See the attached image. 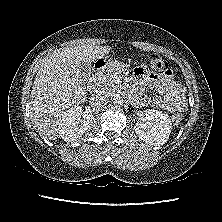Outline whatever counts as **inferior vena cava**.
Instances as JSON below:
<instances>
[{
    "label": "inferior vena cava",
    "mask_w": 222,
    "mask_h": 222,
    "mask_svg": "<svg viewBox=\"0 0 222 222\" xmlns=\"http://www.w3.org/2000/svg\"><path fill=\"white\" fill-rule=\"evenodd\" d=\"M108 103V96L104 93L93 94L90 98V104L93 107L101 108Z\"/></svg>",
    "instance_id": "602c4592"
}]
</instances>
